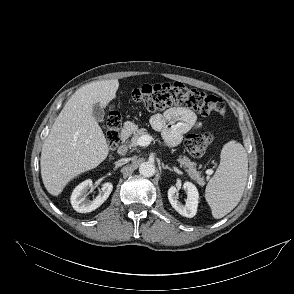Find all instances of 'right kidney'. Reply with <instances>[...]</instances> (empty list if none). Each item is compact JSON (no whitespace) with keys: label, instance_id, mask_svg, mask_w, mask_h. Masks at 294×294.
I'll return each instance as SVG.
<instances>
[{"label":"right kidney","instance_id":"1","mask_svg":"<svg viewBox=\"0 0 294 294\" xmlns=\"http://www.w3.org/2000/svg\"><path fill=\"white\" fill-rule=\"evenodd\" d=\"M92 186V180L88 179L80 183L72 192L71 205L79 213H88L100 207L109 197L113 190V185L106 182L102 185V191L93 200L87 199V191Z\"/></svg>","mask_w":294,"mask_h":294}]
</instances>
